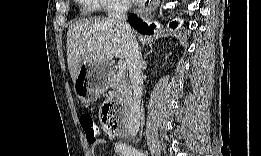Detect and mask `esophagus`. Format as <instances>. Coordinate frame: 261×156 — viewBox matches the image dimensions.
<instances>
[{
	"label": "esophagus",
	"mask_w": 261,
	"mask_h": 156,
	"mask_svg": "<svg viewBox=\"0 0 261 156\" xmlns=\"http://www.w3.org/2000/svg\"><path fill=\"white\" fill-rule=\"evenodd\" d=\"M156 6H157V2H153V3H152V8H150V9H145V11H144L145 14H146V15L151 14V12L154 11V9L156 8Z\"/></svg>",
	"instance_id": "34e87169"
}]
</instances>
